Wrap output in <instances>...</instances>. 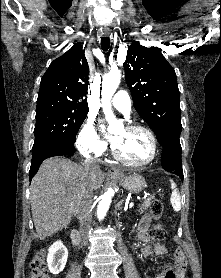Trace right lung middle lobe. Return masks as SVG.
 Segmentation results:
<instances>
[{"label":"right lung middle lobe","instance_id":"right-lung-middle-lobe-1","mask_svg":"<svg viewBox=\"0 0 221 278\" xmlns=\"http://www.w3.org/2000/svg\"><path fill=\"white\" fill-rule=\"evenodd\" d=\"M88 111H75L68 108L44 107L36 110L34 129L36 148L48 141L63 139L75 143L80 126Z\"/></svg>","mask_w":221,"mask_h":278}]
</instances>
